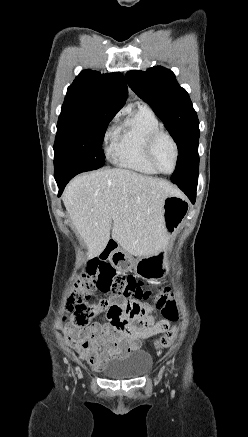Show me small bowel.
Segmentation results:
<instances>
[{"mask_svg": "<svg viewBox=\"0 0 248 437\" xmlns=\"http://www.w3.org/2000/svg\"><path fill=\"white\" fill-rule=\"evenodd\" d=\"M112 305H107L106 314L112 330L94 325L88 330L65 329L68 339L86 355L95 369H101L110 357H124L139 347L142 339H147L164 331L161 322L147 315V308L141 302L129 300L128 294H111ZM101 342L107 346L105 353Z\"/></svg>", "mask_w": 248, "mask_h": 437, "instance_id": "small-bowel-1", "label": "small bowel"}]
</instances>
